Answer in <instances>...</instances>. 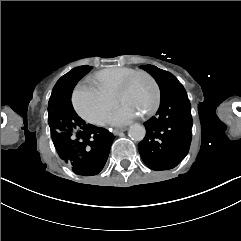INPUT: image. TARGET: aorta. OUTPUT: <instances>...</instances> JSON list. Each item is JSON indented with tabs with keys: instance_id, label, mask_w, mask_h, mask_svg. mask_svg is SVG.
I'll use <instances>...</instances> for the list:
<instances>
[{
	"instance_id": "1",
	"label": "aorta",
	"mask_w": 241,
	"mask_h": 241,
	"mask_svg": "<svg viewBox=\"0 0 241 241\" xmlns=\"http://www.w3.org/2000/svg\"><path fill=\"white\" fill-rule=\"evenodd\" d=\"M146 129L143 125L133 124L130 126L128 136L134 141H142L145 138Z\"/></svg>"
}]
</instances>
